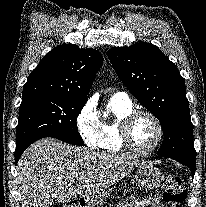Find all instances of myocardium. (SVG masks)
<instances>
[{"label": "myocardium", "instance_id": "1", "mask_svg": "<svg viewBox=\"0 0 206 207\" xmlns=\"http://www.w3.org/2000/svg\"><path fill=\"white\" fill-rule=\"evenodd\" d=\"M142 116H146L153 121L157 128V137L154 144L150 148L146 150H137L131 143L130 128L133 123ZM118 134L123 151L136 157H146L154 153L161 145L164 138V128L159 118L152 112L148 110H134L122 120L119 126Z\"/></svg>", "mask_w": 206, "mask_h": 207}]
</instances>
